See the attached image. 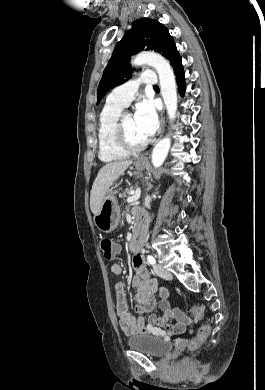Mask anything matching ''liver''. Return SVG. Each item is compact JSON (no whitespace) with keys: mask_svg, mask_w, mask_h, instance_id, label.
<instances>
[{"mask_svg":"<svg viewBox=\"0 0 265 390\" xmlns=\"http://www.w3.org/2000/svg\"><path fill=\"white\" fill-rule=\"evenodd\" d=\"M132 163V160L110 162L99 170L90 194V209L94 215L99 213L109 188Z\"/></svg>","mask_w":265,"mask_h":390,"instance_id":"obj_1","label":"liver"}]
</instances>
